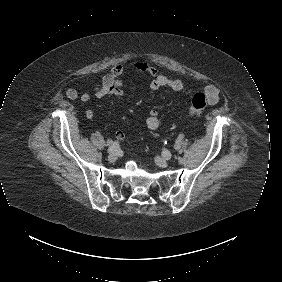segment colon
<instances>
[{
	"label": "colon",
	"instance_id": "1",
	"mask_svg": "<svg viewBox=\"0 0 282 282\" xmlns=\"http://www.w3.org/2000/svg\"><path fill=\"white\" fill-rule=\"evenodd\" d=\"M209 102L210 101L205 93H196L192 98L191 106L189 108V115H198L202 113Z\"/></svg>",
	"mask_w": 282,
	"mask_h": 282
}]
</instances>
